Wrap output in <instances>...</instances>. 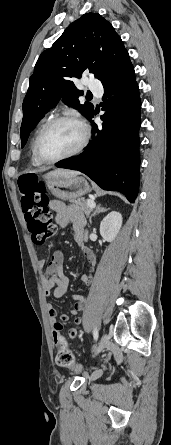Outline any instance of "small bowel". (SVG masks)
<instances>
[{"mask_svg":"<svg viewBox=\"0 0 171 445\" xmlns=\"http://www.w3.org/2000/svg\"><path fill=\"white\" fill-rule=\"evenodd\" d=\"M50 208L54 212V221L57 226L64 227L69 223L72 224L74 230L75 240L81 248L86 257L89 267L95 265V256L86 245L85 230L86 220L79 209L68 206L62 201L52 200L49 203ZM64 254L61 250L53 252L49 261L40 260L38 267L41 271V285L46 297L53 295L55 298H62L67 293L68 278L63 273ZM83 284L88 285L92 282V277L88 274H83L81 277ZM75 300L70 313L77 315L84 308L85 299L79 295H72ZM47 313L50 324L52 326V337L54 342H58L61 338L62 322L68 320L66 314H58V311L52 304L47 305ZM58 317L60 321L58 320ZM82 324L81 318L74 320V326L68 329V335L72 339H76L79 334V329Z\"/></svg>","mask_w":171,"mask_h":445,"instance_id":"small-bowel-1","label":"small bowel"}]
</instances>
